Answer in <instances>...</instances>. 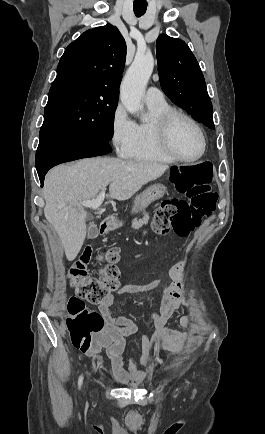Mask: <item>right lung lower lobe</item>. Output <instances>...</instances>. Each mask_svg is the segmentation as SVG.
<instances>
[{
    "label": "right lung lower lobe",
    "instance_id": "obj_1",
    "mask_svg": "<svg viewBox=\"0 0 265 434\" xmlns=\"http://www.w3.org/2000/svg\"><path fill=\"white\" fill-rule=\"evenodd\" d=\"M111 151L107 141L76 139L47 131L40 135L35 159L41 186H43L45 174L53 166L77 159L105 155Z\"/></svg>",
    "mask_w": 265,
    "mask_h": 434
}]
</instances>
